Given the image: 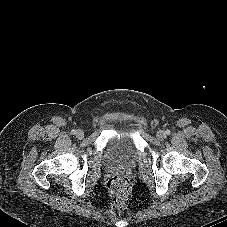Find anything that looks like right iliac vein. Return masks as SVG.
Masks as SVG:
<instances>
[{"label": "right iliac vein", "instance_id": "right-iliac-vein-1", "mask_svg": "<svg viewBox=\"0 0 227 227\" xmlns=\"http://www.w3.org/2000/svg\"><path fill=\"white\" fill-rule=\"evenodd\" d=\"M76 137L78 139H83L84 138V132H83V130H81V129L77 130L76 131Z\"/></svg>", "mask_w": 227, "mask_h": 227}]
</instances>
